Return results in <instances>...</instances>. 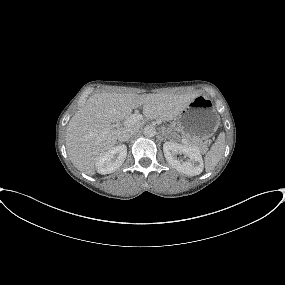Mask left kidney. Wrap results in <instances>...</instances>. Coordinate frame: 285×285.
I'll return each mask as SVG.
<instances>
[{"instance_id":"obj_1","label":"left kidney","mask_w":285,"mask_h":285,"mask_svg":"<svg viewBox=\"0 0 285 285\" xmlns=\"http://www.w3.org/2000/svg\"><path fill=\"white\" fill-rule=\"evenodd\" d=\"M163 152L168 164L181 173L194 176L203 171V159L200 150L195 146L167 141L163 144ZM178 154H184L189 159L181 161L177 158Z\"/></svg>"}]
</instances>
